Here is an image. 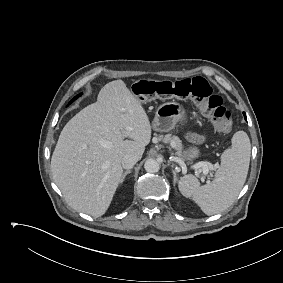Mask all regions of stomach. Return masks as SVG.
<instances>
[{
  "label": "stomach",
  "instance_id": "1",
  "mask_svg": "<svg viewBox=\"0 0 283 283\" xmlns=\"http://www.w3.org/2000/svg\"><path fill=\"white\" fill-rule=\"evenodd\" d=\"M186 122V113L182 105L177 102H167L160 105L156 111L152 127L158 132H168L172 130L177 123ZM200 150L198 147L192 146L181 152L179 155L183 160L192 162L198 158Z\"/></svg>",
  "mask_w": 283,
  "mask_h": 283
}]
</instances>
